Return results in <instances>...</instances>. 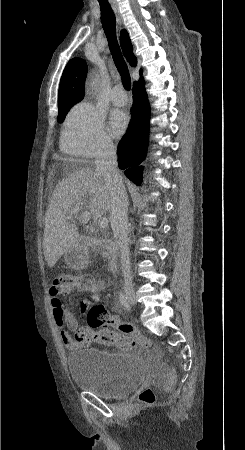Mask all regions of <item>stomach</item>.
I'll return each instance as SVG.
<instances>
[{"label":"stomach","instance_id":"1","mask_svg":"<svg viewBox=\"0 0 245 450\" xmlns=\"http://www.w3.org/2000/svg\"><path fill=\"white\" fill-rule=\"evenodd\" d=\"M88 259L87 251L78 244H75L64 255L65 263L74 269L84 268Z\"/></svg>","mask_w":245,"mask_h":450}]
</instances>
